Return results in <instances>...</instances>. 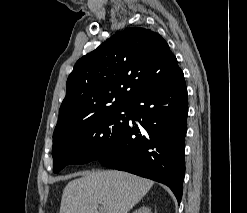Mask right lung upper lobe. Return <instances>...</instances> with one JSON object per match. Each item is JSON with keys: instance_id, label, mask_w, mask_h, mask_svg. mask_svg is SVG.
<instances>
[{"instance_id": "cb5924a9", "label": "right lung upper lobe", "mask_w": 247, "mask_h": 213, "mask_svg": "<svg viewBox=\"0 0 247 213\" xmlns=\"http://www.w3.org/2000/svg\"><path fill=\"white\" fill-rule=\"evenodd\" d=\"M176 68L167 42L149 28H127L113 35L76 62L53 137L129 103Z\"/></svg>"}]
</instances>
